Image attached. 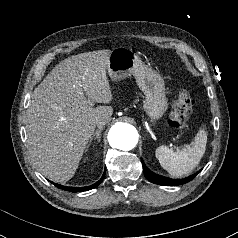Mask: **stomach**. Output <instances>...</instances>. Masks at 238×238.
Here are the masks:
<instances>
[{
	"instance_id": "obj_1",
	"label": "stomach",
	"mask_w": 238,
	"mask_h": 238,
	"mask_svg": "<svg viewBox=\"0 0 238 238\" xmlns=\"http://www.w3.org/2000/svg\"><path fill=\"white\" fill-rule=\"evenodd\" d=\"M107 70L113 81H120L133 75L145 94L143 108L150 121L155 123L163 116L168 109L164 80L147 67L132 49L118 47L112 50Z\"/></svg>"
}]
</instances>
